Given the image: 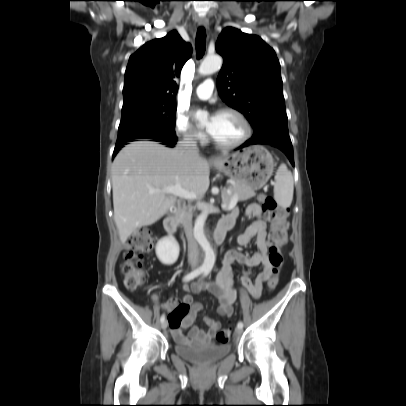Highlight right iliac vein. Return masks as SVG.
<instances>
[{"mask_svg": "<svg viewBox=\"0 0 406 406\" xmlns=\"http://www.w3.org/2000/svg\"><path fill=\"white\" fill-rule=\"evenodd\" d=\"M167 326H168L167 321L162 322V324H161L162 329L165 330L167 328Z\"/></svg>", "mask_w": 406, "mask_h": 406, "instance_id": "obj_1", "label": "right iliac vein"}]
</instances>
